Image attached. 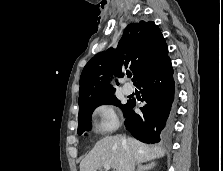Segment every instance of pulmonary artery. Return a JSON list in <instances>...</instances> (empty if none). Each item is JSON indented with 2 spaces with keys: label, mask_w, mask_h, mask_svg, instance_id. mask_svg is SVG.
<instances>
[{
  "label": "pulmonary artery",
  "mask_w": 223,
  "mask_h": 171,
  "mask_svg": "<svg viewBox=\"0 0 223 171\" xmlns=\"http://www.w3.org/2000/svg\"><path fill=\"white\" fill-rule=\"evenodd\" d=\"M122 91L125 95H130L133 93L134 89L130 84H124Z\"/></svg>",
  "instance_id": "1"
}]
</instances>
